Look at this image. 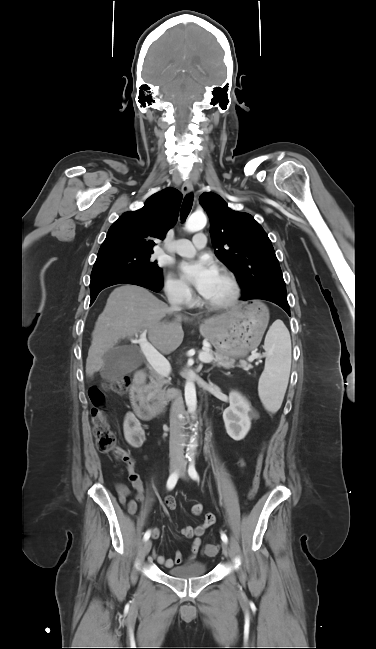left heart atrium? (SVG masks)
Listing matches in <instances>:
<instances>
[{
  "mask_svg": "<svg viewBox=\"0 0 376 649\" xmlns=\"http://www.w3.org/2000/svg\"><path fill=\"white\" fill-rule=\"evenodd\" d=\"M181 278L192 284L202 295L210 288L218 271L208 258L183 261L179 265Z\"/></svg>",
  "mask_w": 376,
  "mask_h": 649,
  "instance_id": "39dd6f15",
  "label": "left heart atrium"
}]
</instances>
